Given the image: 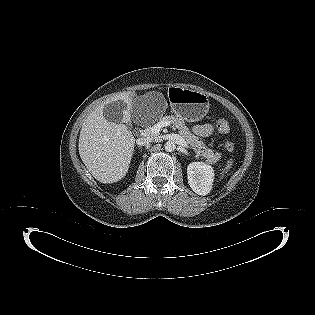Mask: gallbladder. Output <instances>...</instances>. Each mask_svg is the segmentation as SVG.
<instances>
[{"mask_svg":"<svg viewBox=\"0 0 315 315\" xmlns=\"http://www.w3.org/2000/svg\"><path fill=\"white\" fill-rule=\"evenodd\" d=\"M125 109L126 106L122 100L113 101L104 106L103 116L110 122L121 123Z\"/></svg>","mask_w":315,"mask_h":315,"instance_id":"obj_1","label":"gallbladder"}]
</instances>
